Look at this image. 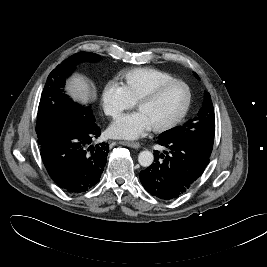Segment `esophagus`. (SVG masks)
<instances>
[{
	"label": "esophagus",
	"mask_w": 267,
	"mask_h": 267,
	"mask_svg": "<svg viewBox=\"0 0 267 267\" xmlns=\"http://www.w3.org/2000/svg\"><path fill=\"white\" fill-rule=\"evenodd\" d=\"M121 143L124 144V145H126V146H128V147L135 148V149H137V148L140 147V143H138V142H127V141H123Z\"/></svg>",
	"instance_id": "obj_1"
}]
</instances>
